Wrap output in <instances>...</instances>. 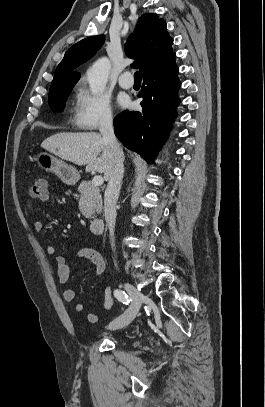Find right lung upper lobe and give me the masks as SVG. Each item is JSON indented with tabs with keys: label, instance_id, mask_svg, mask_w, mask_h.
<instances>
[{
	"label": "right lung upper lobe",
	"instance_id": "right-lung-upper-lobe-1",
	"mask_svg": "<svg viewBox=\"0 0 265 407\" xmlns=\"http://www.w3.org/2000/svg\"><path fill=\"white\" fill-rule=\"evenodd\" d=\"M103 42L102 35L92 36L69 48L56 68L51 86L63 82L77 83L80 74L73 70L89 60ZM172 44L165 21L156 14H145L139 18L134 33L126 42L125 51L130 58L137 60L132 67L140 68L145 74L173 53Z\"/></svg>",
	"mask_w": 265,
	"mask_h": 407
}]
</instances>
